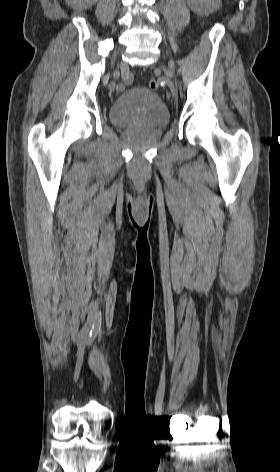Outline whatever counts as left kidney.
Masks as SVG:
<instances>
[{
	"label": "left kidney",
	"instance_id": "obj_1",
	"mask_svg": "<svg viewBox=\"0 0 280 472\" xmlns=\"http://www.w3.org/2000/svg\"><path fill=\"white\" fill-rule=\"evenodd\" d=\"M219 0H187L189 7L198 14L207 15L219 7Z\"/></svg>",
	"mask_w": 280,
	"mask_h": 472
}]
</instances>
